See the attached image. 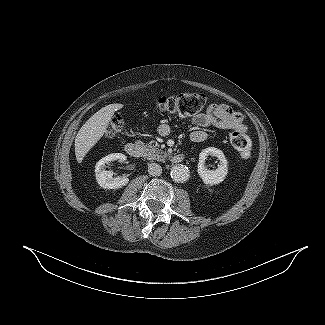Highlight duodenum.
Returning <instances> with one entry per match:
<instances>
[{
	"instance_id": "duodenum-1",
	"label": "duodenum",
	"mask_w": 325,
	"mask_h": 325,
	"mask_svg": "<svg viewBox=\"0 0 325 325\" xmlns=\"http://www.w3.org/2000/svg\"><path fill=\"white\" fill-rule=\"evenodd\" d=\"M125 151L129 156L138 158V157H140V155L142 153V148H141L140 144L135 143V142H130V143L126 144ZM185 157H186L185 153H177L171 157V161L173 163H180V162L184 161Z\"/></svg>"
}]
</instances>
